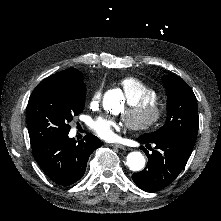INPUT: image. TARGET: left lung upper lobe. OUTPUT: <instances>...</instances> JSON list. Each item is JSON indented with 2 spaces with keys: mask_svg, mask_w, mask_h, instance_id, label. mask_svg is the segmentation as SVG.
Returning a JSON list of instances; mask_svg holds the SVG:
<instances>
[{
  "mask_svg": "<svg viewBox=\"0 0 221 221\" xmlns=\"http://www.w3.org/2000/svg\"><path fill=\"white\" fill-rule=\"evenodd\" d=\"M163 85L167 93V121L156 132L142 136L172 137L193 148L199 125L197 99L191 87L179 76H164Z\"/></svg>",
  "mask_w": 221,
  "mask_h": 221,
  "instance_id": "5c2ea615",
  "label": "left lung upper lobe"
}]
</instances>
